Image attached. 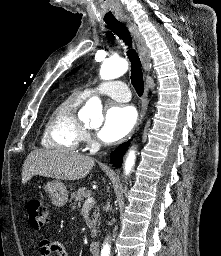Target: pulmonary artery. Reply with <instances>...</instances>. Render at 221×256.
<instances>
[{"instance_id": "1", "label": "pulmonary artery", "mask_w": 221, "mask_h": 256, "mask_svg": "<svg viewBox=\"0 0 221 256\" xmlns=\"http://www.w3.org/2000/svg\"><path fill=\"white\" fill-rule=\"evenodd\" d=\"M94 94L106 95L121 102H127L130 99V92L127 85L118 80L104 82L96 87L85 89L82 92L84 97Z\"/></svg>"}]
</instances>
